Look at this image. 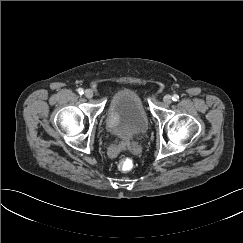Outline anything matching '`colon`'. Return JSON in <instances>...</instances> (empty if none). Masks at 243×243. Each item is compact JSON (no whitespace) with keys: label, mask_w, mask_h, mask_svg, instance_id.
Segmentation results:
<instances>
[{"label":"colon","mask_w":243,"mask_h":243,"mask_svg":"<svg viewBox=\"0 0 243 243\" xmlns=\"http://www.w3.org/2000/svg\"><path fill=\"white\" fill-rule=\"evenodd\" d=\"M133 166H134L133 161L129 158L122 159L118 164V168L122 172H128L132 170Z\"/></svg>","instance_id":"obj_1"}]
</instances>
